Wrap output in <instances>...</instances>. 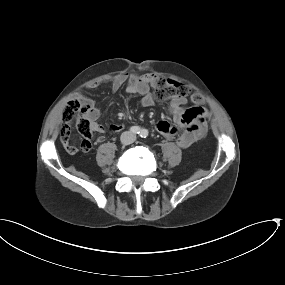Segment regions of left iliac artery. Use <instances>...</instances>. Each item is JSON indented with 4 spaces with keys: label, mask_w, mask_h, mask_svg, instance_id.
Wrapping results in <instances>:
<instances>
[{
    "label": "left iliac artery",
    "mask_w": 285,
    "mask_h": 285,
    "mask_svg": "<svg viewBox=\"0 0 285 285\" xmlns=\"http://www.w3.org/2000/svg\"><path fill=\"white\" fill-rule=\"evenodd\" d=\"M148 136V131L146 129H142L140 131V137L146 138Z\"/></svg>",
    "instance_id": "obj_1"
}]
</instances>
